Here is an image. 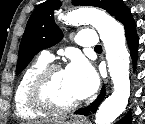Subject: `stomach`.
<instances>
[{"label":"stomach","instance_id":"1","mask_svg":"<svg viewBox=\"0 0 145 124\" xmlns=\"http://www.w3.org/2000/svg\"><path fill=\"white\" fill-rule=\"evenodd\" d=\"M62 124H84L83 121L80 120H70V121H64Z\"/></svg>","mask_w":145,"mask_h":124}]
</instances>
